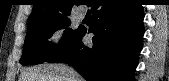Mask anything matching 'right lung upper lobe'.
<instances>
[{
    "instance_id": "1",
    "label": "right lung upper lobe",
    "mask_w": 169,
    "mask_h": 81,
    "mask_svg": "<svg viewBox=\"0 0 169 81\" xmlns=\"http://www.w3.org/2000/svg\"><path fill=\"white\" fill-rule=\"evenodd\" d=\"M28 25L37 21L69 16L73 0H34Z\"/></svg>"
}]
</instances>
